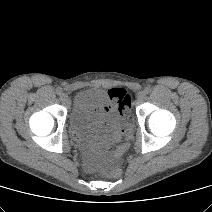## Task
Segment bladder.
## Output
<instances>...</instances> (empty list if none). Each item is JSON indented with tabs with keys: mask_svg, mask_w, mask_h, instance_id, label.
<instances>
[{
	"mask_svg": "<svg viewBox=\"0 0 212 212\" xmlns=\"http://www.w3.org/2000/svg\"><path fill=\"white\" fill-rule=\"evenodd\" d=\"M98 96L99 90L86 89L80 91L75 97L70 114V123L84 142H92L94 140V137L87 129V123L90 109L97 102Z\"/></svg>",
	"mask_w": 212,
	"mask_h": 212,
	"instance_id": "obj_1",
	"label": "bladder"
}]
</instances>
